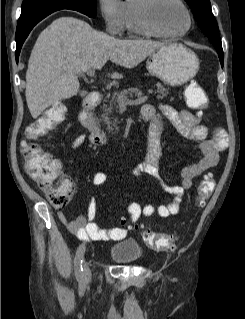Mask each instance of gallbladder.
Returning <instances> with one entry per match:
<instances>
[{
	"label": "gallbladder",
	"mask_w": 245,
	"mask_h": 319,
	"mask_svg": "<svg viewBox=\"0 0 245 319\" xmlns=\"http://www.w3.org/2000/svg\"><path fill=\"white\" fill-rule=\"evenodd\" d=\"M85 94H86V92L83 91V92H82V95H85Z\"/></svg>",
	"instance_id": "1"
}]
</instances>
